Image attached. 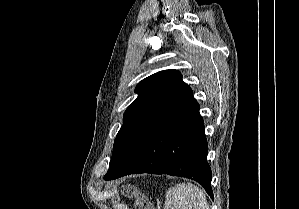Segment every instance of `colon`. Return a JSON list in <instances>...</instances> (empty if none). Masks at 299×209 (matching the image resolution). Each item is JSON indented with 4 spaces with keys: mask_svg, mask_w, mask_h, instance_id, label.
I'll return each mask as SVG.
<instances>
[{
    "mask_svg": "<svg viewBox=\"0 0 299 209\" xmlns=\"http://www.w3.org/2000/svg\"><path fill=\"white\" fill-rule=\"evenodd\" d=\"M121 191L124 196L135 198L134 209H153L148 198L143 194H139L133 185H125Z\"/></svg>",
    "mask_w": 299,
    "mask_h": 209,
    "instance_id": "5ec220e1",
    "label": "colon"
}]
</instances>
